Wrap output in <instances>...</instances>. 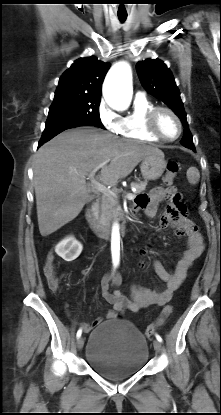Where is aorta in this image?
<instances>
[{
    "label": "aorta",
    "instance_id": "obj_1",
    "mask_svg": "<svg viewBox=\"0 0 221 415\" xmlns=\"http://www.w3.org/2000/svg\"><path fill=\"white\" fill-rule=\"evenodd\" d=\"M132 71L127 62H119L111 67L104 84L103 96L107 104L118 111L128 109L132 100ZM113 263L118 264L120 256V226L114 222L111 233Z\"/></svg>",
    "mask_w": 221,
    "mask_h": 415
}]
</instances>
